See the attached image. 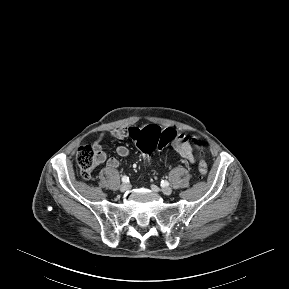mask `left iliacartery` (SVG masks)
<instances>
[{
    "mask_svg": "<svg viewBox=\"0 0 289 289\" xmlns=\"http://www.w3.org/2000/svg\"><path fill=\"white\" fill-rule=\"evenodd\" d=\"M161 183H162V186H168V185H169V182L166 181V180H165V181H162Z\"/></svg>",
    "mask_w": 289,
    "mask_h": 289,
    "instance_id": "44dca946",
    "label": "left iliac artery"
}]
</instances>
